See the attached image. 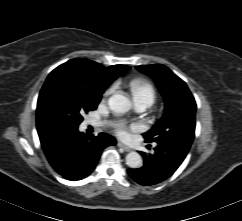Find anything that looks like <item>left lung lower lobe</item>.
Wrapping results in <instances>:
<instances>
[{
	"instance_id": "0a47b994",
	"label": "left lung lower lobe",
	"mask_w": 242,
	"mask_h": 221,
	"mask_svg": "<svg viewBox=\"0 0 242 221\" xmlns=\"http://www.w3.org/2000/svg\"><path fill=\"white\" fill-rule=\"evenodd\" d=\"M154 150V154L141 152L144 159L141 168L128 169L130 177L140 185H155L170 177L189 151L175 143H158Z\"/></svg>"
}]
</instances>
